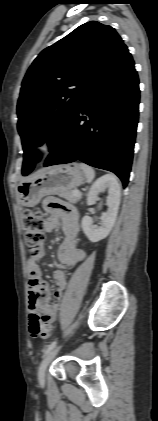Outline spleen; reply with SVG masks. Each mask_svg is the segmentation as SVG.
<instances>
[{
    "label": "spleen",
    "mask_w": 158,
    "mask_h": 421,
    "mask_svg": "<svg viewBox=\"0 0 158 421\" xmlns=\"http://www.w3.org/2000/svg\"><path fill=\"white\" fill-rule=\"evenodd\" d=\"M81 169L83 170L85 176H86V180L87 183H91L93 181V179L95 178V171L92 167L81 163L80 164Z\"/></svg>",
    "instance_id": "spleen-1"
}]
</instances>
